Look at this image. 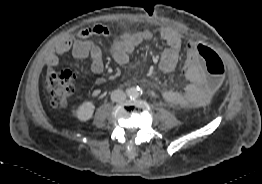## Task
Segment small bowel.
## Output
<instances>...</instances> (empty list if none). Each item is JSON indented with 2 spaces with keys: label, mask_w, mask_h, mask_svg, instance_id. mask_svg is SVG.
<instances>
[{
  "label": "small bowel",
  "mask_w": 262,
  "mask_h": 184,
  "mask_svg": "<svg viewBox=\"0 0 262 184\" xmlns=\"http://www.w3.org/2000/svg\"><path fill=\"white\" fill-rule=\"evenodd\" d=\"M111 34L108 27L98 24L80 30L78 40L64 37L57 42L55 51L46 56L45 64L51 70L59 64L60 57L72 54L77 59L90 58L92 72L100 75L104 70L103 53L93 38H108ZM160 37L165 42L166 48L161 54L159 67L164 72H171L179 62L183 35L174 28L164 27L160 30ZM152 38L153 34L150 31H124L120 33L119 38L111 44L110 50L113 60L119 65H126L129 62V55L141 43ZM183 57L186 62L182 66V72L186 75L187 84L181 91L164 90L162 97L173 106H202L210 99L212 87L207 86L204 82L205 67L201 58L196 54V43L193 40H188L185 43ZM104 82L103 77L96 79L97 85H102Z\"/></svg>",
  "instance_id": "obj_1"
}]
</instances>
